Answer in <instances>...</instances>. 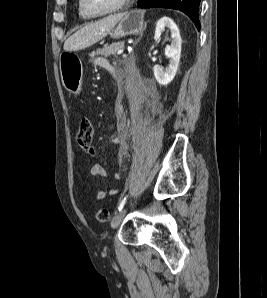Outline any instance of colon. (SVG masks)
<instances>
[{
  "label": "colon",
  "mask_w": 267,
  "mask_h": 298,
  "mask_svg": "<svg viewBox=\"0 0 267 298\" xmlns=\"http://www.w3.org/2000/svg\"><path fill=\"white\" fill-rule=\"evenodd\" d=\"M76 143L84 151L93 154L92 141L94 138V125L90 118H83L76 129ZM110 218V213L106 209H100L96 213L99 222H106Z\"/></svg>",
  "instance_id": "5ec220e1"
}]
</instances>
